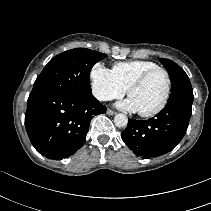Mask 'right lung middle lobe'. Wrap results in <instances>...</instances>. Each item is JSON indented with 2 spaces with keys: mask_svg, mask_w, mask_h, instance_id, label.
I'll list each match as a JSON object with an SVG mask.
<instances>
[{
  "mask_svg": "<svg viewBox=\"0 0 211 211\" xmlns=\"http://www.w3.org/2000/svg\"><path fill=\"white\" fill-rule=\"evenodd\" d=\"M106 54L75 48L54 57L37 77L33 90L56 89L79 96L91 94V68Z\"/></svg>",
  "mask_w": 211,
  "mask_h": 211,
  "instance_id": "right-lung-middle-lobe-1",
  "label": "right lung middle lobe"
}]
</instances>
